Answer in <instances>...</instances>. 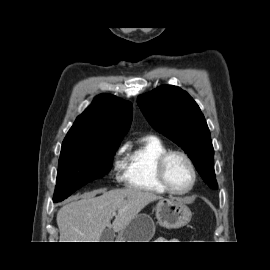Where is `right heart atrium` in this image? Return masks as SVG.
Here are the masks:
<instances>
[{"label": "right heart atrium", "instance_id": "right-heart-atrium-1", "mask_svg": "<svg viewBox=\"0 0 270 270\" xmlns=\"http://www.w3.org/2000/svg\"><path fill=\"white\" fill-rule=\"evenodd\" d=\"M126 149V145L121 146L115 153L114 160L112 163V169L116 175L117 180L121 179V171L125 168L124 161L121 159L122 154Z\"/></svg>", "mask_w": 270, "mask_h": 270}]
</instances>
